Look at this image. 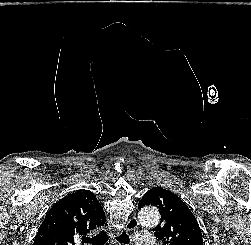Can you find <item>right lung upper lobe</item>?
I'll list each match as a JSON object with an SVG mask.
<instances>
[{
    "label": "right lung upper lobe",
    "mask_w": 251,
    "mask_h": 245,
    "mask_svg": "<svg viewBox=\"0 0 251 245\" xmlns=\"http://www.w3.org/2000/svg\"><path fill=\"white\" fill-rule=\"evenodd\" d=\"M106 225L105 213L89 190L60 199L48 211L33 245H75L81 235Z\"/></svg>",
    "instance_id": "obj_1"
}]
</instances>
